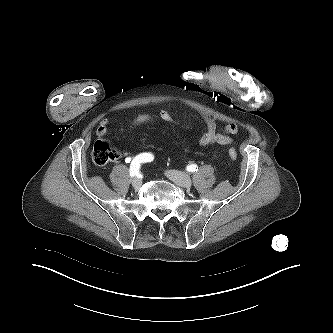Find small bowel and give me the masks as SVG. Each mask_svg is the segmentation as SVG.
<instances>
[{
	"label": "small bowel",
	"instance_id": "1",
	"mask_svg": "<svg viewBox=\"0 0 333 333\" xmlns=\"http://www.w3.org/2000/svg\"><path fill=\"white\" fill-rule=\"evenodd\" d=\"M159 116L165 122H168L185 131H189L191 129V126L188 123L176 118L167 110H161L159 112ZM202 119L205 123L206 131L199 140L201 147L206 148L214 144H218L222 147H229L232 144L231 136L236 135L239 131L236 124H227L224 126L222 131H218L217 122L213 117L203 114ZM110 122L111 120L109 118L101 120L96 130V135L98 137H104L106 135Z\"/></svg>",
	"mask_w": 333,
	"mask_h": 333
}]
</instances>
